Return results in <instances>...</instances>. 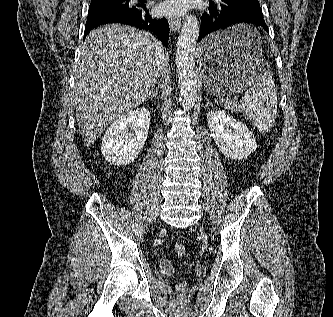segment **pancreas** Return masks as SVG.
Segmentation results:
<instances>
[{
    "mask_svg": "<svg viewBox=\"0 0 333 317\" xmlns=\"http://www.w3.org/2000/svg\"><path fill=\"white\" fill-rule=\"evenodd\" d=\"M225 107H227L229 109H233L232 106H230V102H226Z\"/></svg>",
    "mask_w": 333,
    "mask_h": 317,
    "instance_id": "cf45deb5",
    "label": "pancreas"
}]
</instances>
